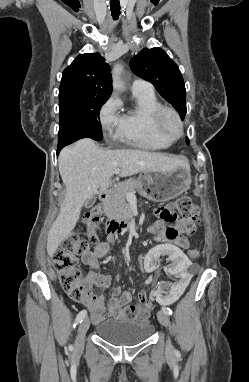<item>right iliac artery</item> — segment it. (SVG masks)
Instances as JSON below:
<instances>
[{
    "label": "right iliac artery",
    "mask_w": 249,
    "mask_h": 382,
    "mask_svg": "<svg viewBox=\"0 0 249 382\" xmlns=\"http://www.w3.org/2000/svg\"><path fill=\"white\" fill-rule=\"evenodd\" d=\"M87 316V311L86 310H82L79 312V314L77 315L76 319H75V323L73 325V327L75 328L77 326V324L81 323Z\"/></svg>",
    "instance_id": "obj_1"
}]
</instances>
